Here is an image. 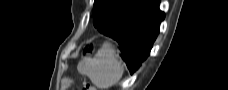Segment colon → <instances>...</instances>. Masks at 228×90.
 Masks as SVG:
<instances>
[{"mask_svg": "<svg viewBox=\"0 0 228 90\" xmlns=\"http://www.w3.org/2000/svg\"><path fill=\"white\" fill-rule=\"evenodd\" d=\"M93 50H94L93 45L88 46L86 49V54H91L93 52ZM84 90H95V89L90 84H86Z\"/></svg>", "mask_w": 228, "mask_h": 90, "instance_id": "1", "label": "colon"}]
</instances>
